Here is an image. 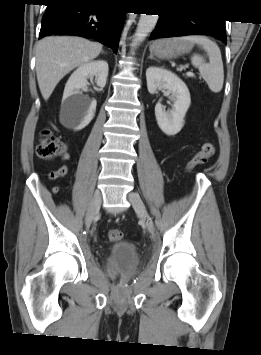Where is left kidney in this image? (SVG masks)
Segmentation results:
<instances>
[{"mask_svg":"<svg viewBox=\"0 0 261 355\" xmlns=\"http://www.w3.org/2000/svg\"><path fill=\"white\" fill-rule=\"evenodd\" d=\"M147 88L154 94L165 89L171 93L170 99L174 107L165 111L161 103L155 106V116L159 128L168 136L176 135L184 126V117L190 106V93L186 84L174 73L159 67H149L146 70Z\"/></svg>","mask_w":261,"mask_h":355,"instance_id":"1","label":"left kidney"}]
</instances>
